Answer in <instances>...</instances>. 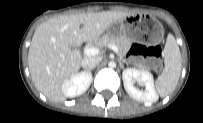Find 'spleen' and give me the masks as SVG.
<instances>
[{
	"label": "spleen",
	"mask_w": 203,
	"mask_h": 123,
	"mask_svg": "<svg viewBox=\"0 0 203 123\" xmlns=\"http://www.w3.org/2000/svg\"><path fill=\"white\" fill-rule=\"evenodd\" d=\"M164 53L165 67L155 83L161 97H165L175 90L182 69L180 49L173 36L168 37Z\"/></svg>",
	"instance_id": "obj_1"
}]
</instances>
